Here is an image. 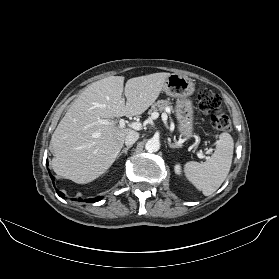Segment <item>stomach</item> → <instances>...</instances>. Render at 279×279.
Masks as SVG:
<instances>
[{
  "mask_svg": "<svg viewBox=\"0 0 279 279\" xmlns=\"http://www.w3.org/2000/svg\"><path fill=\"white\" fill-rule=\"evenodd\" d=\"M195 85L187 76L171 74L165 81L163 91L175 98V116L181 136L190 138L193 135V104L189 97L193 94Z\"/></svg>",
  "mask_w": 279,
  "mask_h": 279,
  "instance_id": "1",
  "label": "stomach"
}]
</instances>
